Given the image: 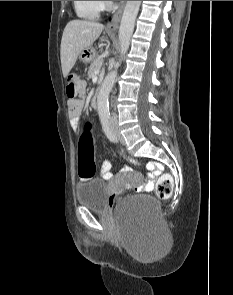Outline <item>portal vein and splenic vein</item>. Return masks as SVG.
Wrapping results in <instances>:
<instances>
[{"label": "portal vein and splenic vein", "mask_w": 233, "mask_h": 295, "mask_svg": "<svg viewBox=\"0 0 233 295\" xmlns=\"http://www.w3.org/2000/svg\"><path fill=\"white\" fill-rule=\"evenodd\" d=\"M99 72H100V69H97V70L95 71L96 74H99Z\"/></svg>", "instance_id": "obj_1"}]
</instances>
